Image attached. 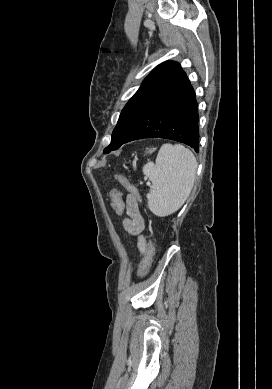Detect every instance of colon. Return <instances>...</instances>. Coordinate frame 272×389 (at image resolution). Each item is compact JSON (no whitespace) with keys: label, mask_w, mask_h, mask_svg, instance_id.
I'll return each instance as SVG.
<instances>
[{"label":"colon","mask_w":272,"mask_h":389,"mask_svg":"<svg viewBox=\"0 0 272 389\" xmlns=\"http://www.w3.org/2000/svg\"><path fill=\"white\" fill-rule=\"evenodd\" d=\"M116 180L121 184V186L126 189L130 195H133L136 199H139V193L137 188L123 175H116ZM112 207L114 212L117 215H120L125 208V201L122 198V193L118 189H114L111 192ZM154 256V246L151 240H149L145 255L140 268V276H145L152 265Z\"/></svg>","instance_id":"colon-1"}]
</instances>
